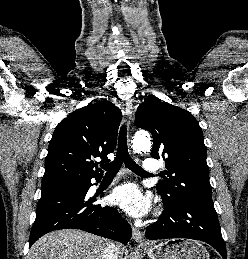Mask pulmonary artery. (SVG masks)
<instances>
[{
  "label": "pulmonary artery",
  "instance_id": "obj_1",
  "mask_svg": "<svg viewBox=\"0 0 248 259\" xmlns=\"http://www.w3.org/2000/svg\"><path fill=\"white\" fill-rule=\"evenodd\" d=\"M159 163L156 159L147 158L143 162V170L147 173H155L159 171Z\"/></svg>",
  "mask_w": 248,
  "mask_h": 259
}]
</instances>
